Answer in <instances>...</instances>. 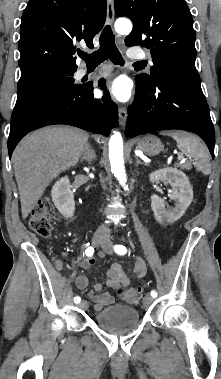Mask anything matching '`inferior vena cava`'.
Returning <instances> with one entry per match:
<instances>
[{
	"mask_svg": "<svg viewBox=\"0 0 221 379\" xmlns=\"http://www.w3.org/2000/svg\"><path fill=\"white\" fill-rule=\"evenodd\" d=\"M100 229H101V230H106L107 227H106L105 225H102Z\"/></svg>",
	"mask_w": 221,
	"mask_h": 379,
	"instance_id": "obj_1",
	"label": "inferior vena cava"
}]
</instances>
